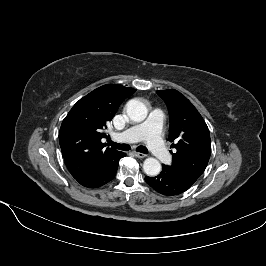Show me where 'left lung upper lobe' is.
<instances>
[{"label":"left lung upper lobe","instance_id":"5c2ea615","mask_svg":"<svg viewBox=\"0 0 266 266\" xmlns=\"http://www.w3.org/2000/svg\"><path fill=\"white\" fill-rule=\"evenodd\" d=\"M170 115L169 137L173 162L163 169L176 180L191 187L204 172L210 155L209 129L193 104L174 89L157 91Z\"/></svg>","mask_w":266,"mask_h":266}]
</instances>
